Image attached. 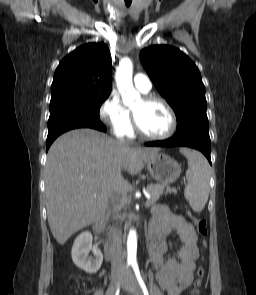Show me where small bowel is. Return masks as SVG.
Wrapping results in <instances>:
<instances>
[{"label": "small bowel", "mask_w": 256, "mask_h": 295, "mask_svg": "<svg viewBox=\"0 0 256 295\" xmlns=\"http://www.w3.org/2000/svg\"><path fill=\"white\" fill-rule=\"evenodd\" d=\"M175 230L183 245L177 249L175 258L162 261L168 247L167 238ZM151 243L148 256L152 263L159 287L167 295H181L190 285L194 260L198 252L197 237L191 223L164 205L154 209L150 224Z\"/></svg>", "instance_id": "c3829d8e"}]
</instances>
